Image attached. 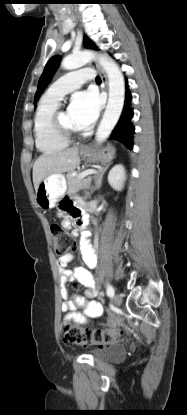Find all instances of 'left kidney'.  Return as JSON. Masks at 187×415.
<instances>
[{
    "instance_id": "left-kidney-1",
    "label": "left kidney",
    "mask_w": 187,
    "mask_h": 415,
    "mask_svg": "<svg viewBox=\"0 0 187 415\" xmlns=\"http://www.w3.org/2000/svg\"><path fill=\"white\" fill-rule=\"evenodd\" d=\"M126 179L124 166L121 164L115 165L108 174V182L115 190H122Z\"/></svg>"
}]
</instances>
